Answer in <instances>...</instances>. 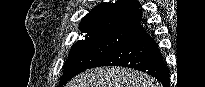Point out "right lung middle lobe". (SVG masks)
<instances>
[{
    "label": "right lung middle lobe",
    "instance_id": "right-lung-middle-lobe-1",
    "mask_svg": "<svg viewBox=\"0 0 205 87\" xmlns=\"http://www.w3.org/2000/svg\"><path fill=\"white\" fill-rule=\"evenodd\" d=\"M131 35L121 31L89 32L70 49L59 86L65 85L74 76L90 68L95 62L125 42Z\"/></svg>",
    "mask_w": 205,
    "mask_h": 87
}]
</instances>
